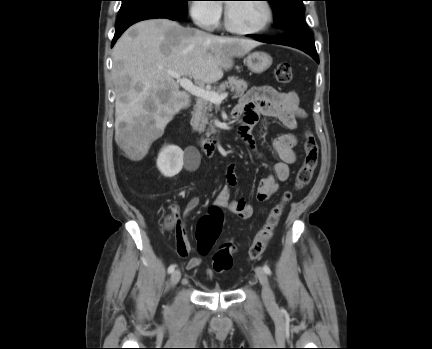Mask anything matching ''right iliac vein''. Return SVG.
Wrapping results in <instances>:
<instances>
[{
  "instance_id": "obj_1",
  "label": "right iliac vein",
  "mask_w": 432,
  "mask_h": 349,
  "mask_svg": "<svg viewBox=\"0 0 432 349\" xmlns=\"http://www.w3.org/2000/svg\"><path fill=\"white\" fill-rule=\"evenodd\" d=\"M180 278H181V272L179 269H176L171 274V284L175 286L179 282Z\"/></svg>"
}]
</instances>
